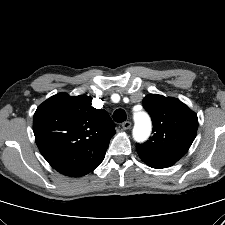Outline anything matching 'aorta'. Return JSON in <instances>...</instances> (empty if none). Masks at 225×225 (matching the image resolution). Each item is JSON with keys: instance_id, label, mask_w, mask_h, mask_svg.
<instances>
[{"instance_id": "obj_1", "label": "aorta", "mask_w": 225, "mask_h": 225, "mask_svg": "<svg viewBox=\"0 0 225 225\" xmlns=\"http://www.w3.org/2000/svg\"><path fill=\"white\" fill-rule=\"evenodd\" d=\"M134 121L133 138L137 142H143L151 133V120L145 112H138L134 115Z\"/></svg>"}]
</instances>
